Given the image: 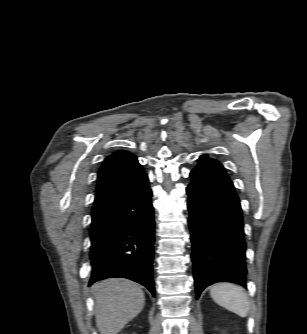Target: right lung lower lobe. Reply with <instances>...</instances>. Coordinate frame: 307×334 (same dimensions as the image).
Wrapping results in <instances>:
<instances>
[{"mask_svg": "<svg viewBox=\"0 0 307 334\" xmlns=\"http://www.w3.org/2000/svg\"><path fill=\"white\" fill-rule=\"evenodd\" d=\"M145 174L130 187L93 206L90 228L92 275L128 278L155 295L152 279L154 213Z\"/></svg>", "mask_w": 307, "mask_h": 334, "instance_id": "98d812e1", "label": "right lung lower lobe"}]
</instances>
